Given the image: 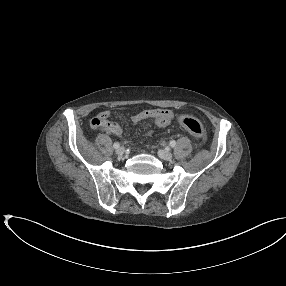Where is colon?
<instances>
[{
	"label": "colon",
	"mask_w": 286,
	"mask_h": 286,
	"mask_svg": "<svg viewBox=\"0 0 286 286\" xmlns=\"http://www.w3.org/2000/svg\"><path fill=\"white\" fill-rule=\"evenodd\" d=\"M178 122L196 139L202 140L204 138V127L198 119L191 116L181 115L178 118Z\"/></svg>",
	"instance_id": "5ec220e1"
}]
</instances>
